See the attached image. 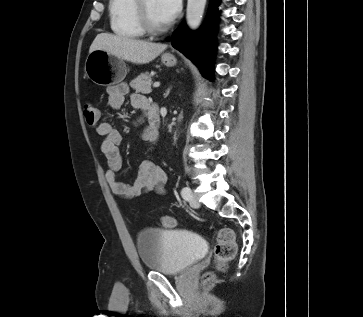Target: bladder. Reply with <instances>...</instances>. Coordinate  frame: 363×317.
I'll use <instances>...</instances> for the list:
<instances>
[{
    "label": "bladder",
    "instance_id": "1",
    "mask_svg": "<svg viewBox=\"0 0 363 317\" xmlns=\"http://www.w3.org/2000/svg\"><path fill=\"white\" fill-rule=\"evenodd\" d=\"M142 265L165 275L180 274L203 258L208 245L199 234L182 229L147 228L136 236Z\"/></svg>",
    "mask_w": 363,
    "mask_h": 317
}]
</instances>
